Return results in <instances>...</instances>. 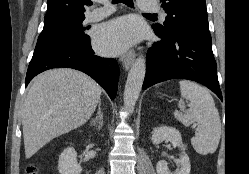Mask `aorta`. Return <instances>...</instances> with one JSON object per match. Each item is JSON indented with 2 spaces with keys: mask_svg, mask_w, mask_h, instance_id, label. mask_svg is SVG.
I'll return each instance as SVG.
<instances>
[{
  "mask_svg": "<svg viewBox=\"0 0 249 174\" xmlns=\"http://www.w3.org/2000/svg\"><path fill=\"white\" fill-rule=\"evenodd\" d=\"M146 73V60L138 57L133 63L127 77L124 90V106L129 112H133L138 100Z\"/></svg>",
  "mask_w": 249,
  "mask_h": 174,
  "instance_id": "1",
  "label": "aorta"
}]
</instances>
